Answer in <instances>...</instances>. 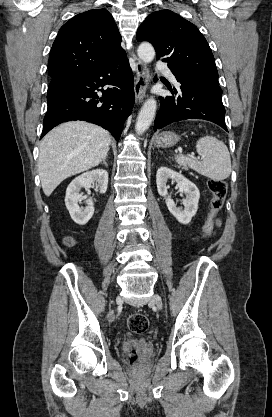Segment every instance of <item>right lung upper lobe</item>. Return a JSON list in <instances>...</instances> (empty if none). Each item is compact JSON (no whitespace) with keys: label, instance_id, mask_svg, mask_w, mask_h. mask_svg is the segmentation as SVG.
<instances>
[{"label":"right lung upper lobe","instance_id":"1","mask_svg":"<svg viewBox=\"0 0 272 417\" xmlns=\"http://www.w3.org/2000/svg\"><path fill=\"white\" fill-rule=\"evenodd\" d=\"M121 36L105 9L74 16L59 30L52 45L48 71L51 80L96 70L120 53Z\"/></svg>","mask_w":272,"mask_h":417}]
</instances>
